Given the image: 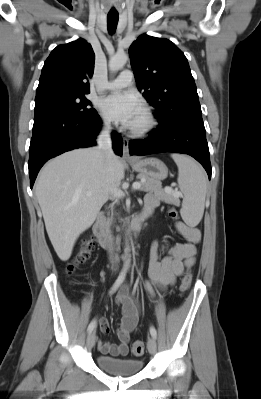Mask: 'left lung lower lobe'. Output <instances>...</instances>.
I'll return each instance as SVG.
<instances>
[{"label": "left lung lower lobe", "mask_w": 261, "mask_h": 399, "mask_svg": "<svg viewBox=\"0 0 261 399\" xmlns=\"http://www.w3.org/2000/svg\"><path fill=\"white\" fill-rule=\"evenodd\" d=\"M147 139L131 140V155H148L161 152L188 154L205 168L211 178L209 148L202 114H191L175 120L168 126H158L149 132Z\"/></svg>", "instance_id": "1"}]
</instances>
